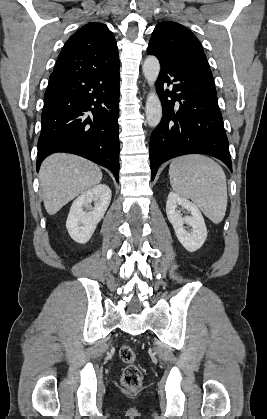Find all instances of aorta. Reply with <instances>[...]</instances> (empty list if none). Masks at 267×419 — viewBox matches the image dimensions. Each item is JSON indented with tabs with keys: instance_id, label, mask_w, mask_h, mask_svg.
I'll return each mask as SVG.
<instances>
[{
	"instance_id": "1",
	"label": "aorta",
	"mask_w": 267,
	"mask_h": 419,
	"mask_svg": "<svg viewBox=\"0 0 267 419\" xmlns=\"http://www.w3.org/2000/svg\"><path fill=\"white\" fill-rule=\"evenodd\" d=\"M143 74L150 86H152L159 75L160 63L157 57L148 56L143 64ZM146 119L150 127H156L162 119V106L157 93L152 90L147 97L146 101Z\"/></svg>"
}]
</instances>
